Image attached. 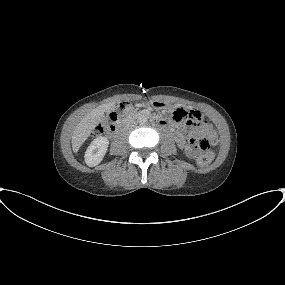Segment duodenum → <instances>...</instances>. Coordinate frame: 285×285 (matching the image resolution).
I'll list each match as a JSON object with an SVG mask.
<instances>
[{
    "mask_svg": "<svg viewBox=\"0 0 285 285\" xmlns=\"http://www.w3.org/2000/svg\"><path fill=\"white\" fill-rule=\"evenodd\" d=\"M157 124H159V125H165L166 124V121L164 120V119H162V118H158V119H155L154 120ZM108 127H109V129H110V131L113 133V134H115V133H117L119 130H120V124L119 123H110L109 125H108Z\"/></svg>",
    "mask_w": 285,
    "mask_h": 285,
    "instance_id": "obj_1",
    "label": "duodenum"
}]
</instances>
